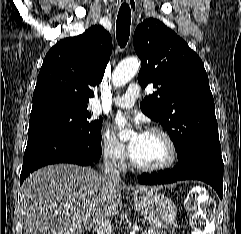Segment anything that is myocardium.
<instances>
[{"label": "myocardium", "instance_id": "myocardium-1", "mask_svg": "<svg viewBox=\"0 0 241 234\" xmlns=\"http://www.w3.org/2000/svg\"><path fill=\"white\" fill-rule=\"evenodd\" d=\"M147 132L156 133V134L160 135L166 141L168 148H169V157L166 162H164L160 165H156V166L143 165V164L138 163L135 160V158L132 154L131 147H130L129 160H130L131 165L139 171L148 172V173L161 172V171L171 168L175 164V162L177 160V156H178V150H177V146H176L174 139L165 129H163L161 127H157V126L151 127L147 130Z\"/></svg>", "mask_w": 241, "mask_h": 234}]
</instances>
